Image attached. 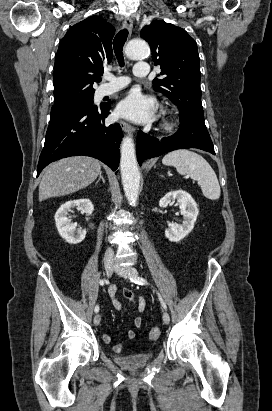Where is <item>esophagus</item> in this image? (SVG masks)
<instances>
[{"mask_svg": "<svg viewBox=\"0 0 272 411\" xmlns=\"http://www.w3.org/2000/svg\"><path fill=\"white\" fill-rule=\"evenodd\" d=\"M123 26L125 29L130 31L133 27V20L130 17L126 18L123 22ZM119 123L125 132H130L132 134L135 133V128L129 125L128 123H126L125 121L120 120Z\"/></svg>", "mask_w": 272, "mask_h": 411, "instance_id": "1", "label": "esophagus"}]
</instances>
